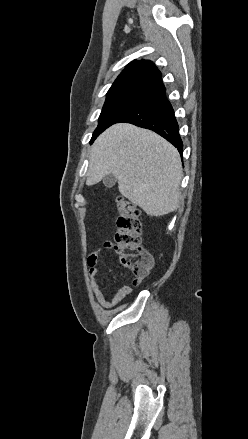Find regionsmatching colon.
Returning <instances> with one entry per match:
<instances>
[{"label":"colon","mask_w":248,"mask_h":439,"mask_svg":"<svg viewBox=\"0 0 248 439\" xmlns=\"http://www.w3.org/2000/svg\"><path fill=\"white\" fill-rule=\"evenodd\" d=\"M118 217L114 236V248L120 254L121 263L134 275L139 284L151 271L153 258L141 243L142 224L138 207L124 197H117Z\"/></svg>","instance_id":"1"}]
</instances>
